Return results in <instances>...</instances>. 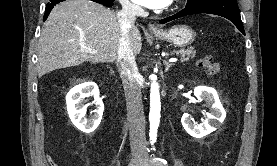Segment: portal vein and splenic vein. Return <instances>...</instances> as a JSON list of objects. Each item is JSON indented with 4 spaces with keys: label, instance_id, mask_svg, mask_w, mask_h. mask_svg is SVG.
<instances>
[{
    "label": "portal vein and splenic vein",
    "instance_id": "18ae733b",
    "mask_svg": "<svg viewBox=\"0 0 277 166\" xmlns=\"http://www.w3.org/2000/svg\"><path fill=\"white\" fill-rule=\"evenodd\" d=\"M84 50L88 53H91V54L97 53V51L95 49H92V48H85ZM176 61H177V58H170L169 59V62H176Z\"/></svg>",
    "mask_w": 277,
    "mask_h": 166
}]
</instances>
